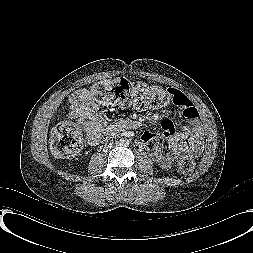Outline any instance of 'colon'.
Instances as JSON below:
<instances>
[{
  "label": "colon",
  "mask_w": 253,
  "mask_h": 253,
  "mask_svg": "<svg viewBox=\"0 0 253 253\" xmlns=\"http://www.w3.org/2000/svg\"><path fill=\"white\" fill-rule=\"evenodd\" d=\"M96 101L105 105L151 109L163 106L179 95L169 88L150 87L133 84L125 79L106 80L97 83L91 89ZM83 137L80 129L73 123H60L51 137V149L60 158L75 155L82 147ZM194 160L190 156H182L178 161L179 169L188 173L194 168Z\"/></svg>",
  "instance_id": "obj_1"
}]
</instances>
